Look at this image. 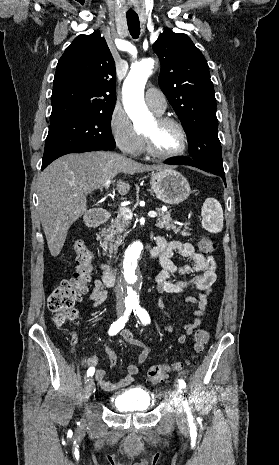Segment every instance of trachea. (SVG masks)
Listing matches in <instances>:
<instances>
[{"mask_svg": "<svg viewBox=\"0 0 279 465\" xmlns=\"http://www.w3.org/2000/svg\"><path fill=\"white\" fill-rule=\"evenodd\" d=\"M128 28L131 36L133 38H138L140 34V22L138 15H126Z\"/></svg>", "mask_w": 279, "mask_h": 465, "instance_id": "1", "label": "trachea"}]
</instances>
